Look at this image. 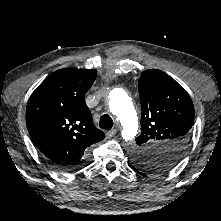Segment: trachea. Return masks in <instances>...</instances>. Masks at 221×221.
Returning <instances> with one entry per match:
<instances>
[{
    "label": "trachea",
    "mask_w": 221,
    "mask_h": 221,
    "mask_svg": "<svg viewBox=\"0 0 221 221\" xmlns=\"http://www.w3.org/2000/svg\"><path fill=\"white\" fill-rule=\"evenodd\" d=\"M113 126V120L112 118L107 115L104 114L101 118H100V122H99V127L105 130L111 129Z\"/></svg>",
    "instance_id": "trachea-1"
}]
</instances>
